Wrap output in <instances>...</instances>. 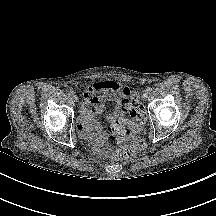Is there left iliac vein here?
<instances>
[{"label":"left iliac vein","instance_id":"obj_1","mask_svg":"<svg viewBox=\"0 0 216 216\" xmlns=\"http://www.w3.org/2000/svg\"><path fill=\"white\" fill-rule=\"evenodd\" d=\"M148 96H149V92L146 91V92L143 93L142 99H143V100H147V99H148Z\"/></svg>","mask_w":216,"mask_h":216}]
</instances>
